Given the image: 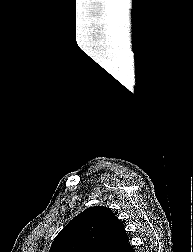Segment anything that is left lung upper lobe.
Segmentation results:
<instances>
[{
	"instance_id": "1",
	"label": "left lung upper lobe",
	"mask_w": 193,
	"mask_h": 252,
	"mask_svg": "<svg viewBox=\"0 0 193 252\" xmlns=\"http://www.w3.org/2000/svg\"><path fill=\"white\" fill-rule=\"evenodd\" d=\"M129 237L123 223L106 207L85 209L57 235L49 252H124Z\"/></svg>"
}]
</instances>
